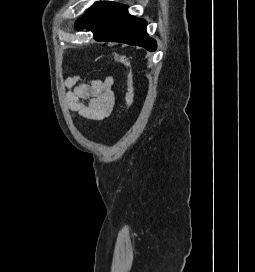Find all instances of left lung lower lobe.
<instances>
[{"label":"left lung lower lobe","instance_id":"0a47b994","mask_svg":"<svg viewBox=\"0 0 255 272\" xmlns=\"http://www.w3.org/2000/svg\"><path fill=\"white\" fill-rule=\"evenodd\" d=\"M77 30L88 29L96 41L138 45L149 51L157 47L146 32V21L131 16L127 6L108 1L95 2L83 18L75 22Z\"/></svg>","mask_w":255,"mask_h":272}]
</instances>
